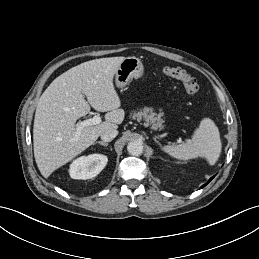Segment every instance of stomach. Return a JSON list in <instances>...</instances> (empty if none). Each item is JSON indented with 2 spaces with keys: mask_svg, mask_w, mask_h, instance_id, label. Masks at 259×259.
Here are the masks:
<instances>
[{
  "mask_svg": "<svg viewBox=\"0 0 259 259\" xmlns=\"http://www.w3.org/2000/svg\"><path fill=\"white\" fill-rule=\"evenodd\" d=\"M144 71L143 64L139 58H125L115 73V83L118 88H124L130 80L142 76Z\"/></svg>",
  "mask_w": 259,
  "mask_h": 259,
  "instance_id": "1",
  "label": "stomach"
}]
</instances>
